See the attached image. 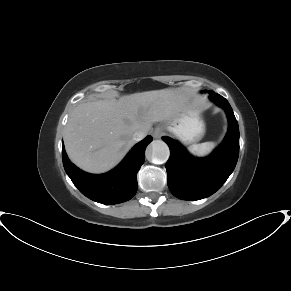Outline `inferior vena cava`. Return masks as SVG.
Segmentation results:
<instances>
[{"label": "inferior vena cava", "instance_id": "602c4592", "mask_svg": "<svg viewBox=\"0 0 291 291\" xmlns=\"http://www.w3.org/2000/svg\"><path fill=\"white\" fill-rule=\"evenodd\" d=\"M146 137V133L144 131H136L133 134V140L134 141H141L142 139H144Z\"/></svg>", "mask_w": 291, "mask_h": 291}]
</instances>
